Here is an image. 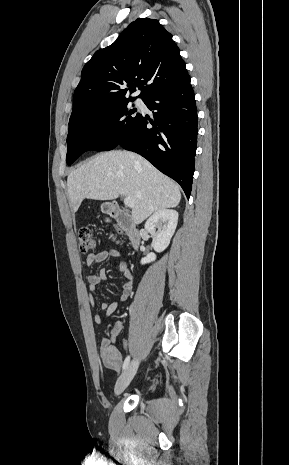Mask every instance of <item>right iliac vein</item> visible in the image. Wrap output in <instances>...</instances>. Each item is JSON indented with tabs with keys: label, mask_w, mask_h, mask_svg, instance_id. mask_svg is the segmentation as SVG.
<instances>
[{
	"label": "right iliac vein",
	"mask_w": 289,
	"mask_h": 465,
	"mask_svg": "<svg viewBox=\"0 0 289 465\" xmlns=\"http://www.w3.org/2000/svg\"><path fill=\"white\" fill-rule=\"evenodd\" d=\"M139 366V360L134 359L128 367L125 369V371L121 374V376L118 378L115 388H114V393L115 395H120L130 384L131 380L133 379L134 375L137 372Z\"/></svg>",
	"instance_id": "63e3f726"
}]
</instances>
